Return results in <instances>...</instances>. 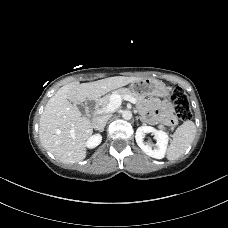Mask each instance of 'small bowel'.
<instances>
[{"instance_id":"obj_1","label":"small bowel","mask_w":228,"mask_h":228,"mask_svg":"<svg viewBox=\"0 0 228 228\" xmlns=\"http://www.w3.org/2000/svg\"><path fill=\"white\" fill-rule=\"evenodd\" d=\"M152 109L150 111V116L153 118L162 119L164 122H167L169 118L168 114L170 111V105L167 101H152L151 102Z\"/></svg>"}]
</instances>
